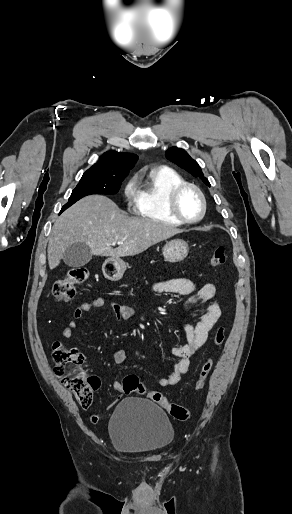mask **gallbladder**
Returning <instances> with one entry per match:
<instances>
[{
    "label": "gallbladder",
    "mask_w": 292,
    "mask_h": 514,
    "mask_svg": "<svg viewBox=\"0 0 292 514\" xmlns=\"http://www.w3.org/2000/svg\"><path fill=\"white\" fill-rule=\"evenodd\" d=\"M92 256L93 254L87 244L75 242V244H70L65 248L63 260L70 268H81L92 260Z\"/></svg>",
    "instance_id": "obj_1"
}]
</instances>
